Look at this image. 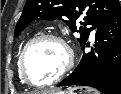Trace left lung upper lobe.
I'll list each match as a JSON object with an SVG mask.
<instances>
[{
    "instance_id": "obj_1",
    "label": "left lung upper lobe",
    "mask_w": 121,
    "mask_h": 94,
    "mask_svg": "<svg viewBox=\"0 0 121 94\" xmlns=\"http://www.w3.org/2000/svg\"><path fill=\"white\" fill-rule=\"evenodd\" d=\"M82 11L86 12L85 17L82 16ZM120 11L119 0H27L16 25L15 36H18L33 20H55L64 17L69 19L64 22L72 31L80 32L81 37L78 41L81 46H84L89 37V31L97 28L102 22ZM80 18L85 21V25H93V27L87 29L81 26L78 31L75 23Z\"/></svg>"
}]
</instances>
